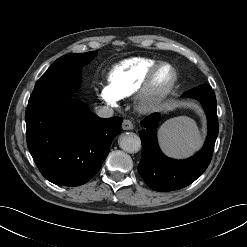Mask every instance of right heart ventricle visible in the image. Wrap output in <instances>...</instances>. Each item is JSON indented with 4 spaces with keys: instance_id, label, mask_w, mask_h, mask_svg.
Returning <instances> with one entry per match:
<instances>
[{
    "instance_id": "right-heart-ventricle-1",
    "label": "right heart ventricle",
    "mask_w": 247,
    "mask_h": 247,
    "mask_svg": "<svg viewBox=\"0 0 247 247\" xmlns=\"http://www.w3.org/2000/svg\"><path fill=\"white\" fill-rule=\"evenodd\" d=\"M159 62L145 57H133L118 64L110 75V86L119 98L133 95L148 72Z\"/></svg>"
}]
</instances>
